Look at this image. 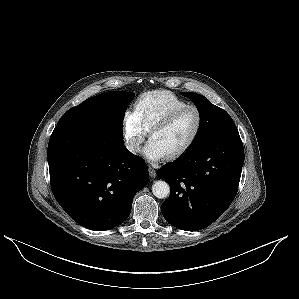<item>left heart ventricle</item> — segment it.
<instances>
[{
    "label": "left heart ventricle",
    "instance_id": "left-heart-ventricle-1",
    "mask_svg": "<svg viewBox=\"0 0 299 299\" xmlns=\"http://www.w3.org/2000/svg\"><path fill=\"white\" fill-rule=\"evenodd\" d=\"M197 120V113L194 110H187L170 126L156 131L151 139L169 155L188 142L196 129Z\"/></svg>",
    "mask_w": 299,
    "mask_h": 299
}]
</instances>
